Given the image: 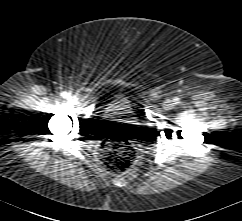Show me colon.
<instances>
[{"label": "colon", "instance_id": "1", "mask_svg": "<svg viewBox=\"0 0 242 221\" xmlns=\"http://www.w3.org/2000/svg\"><path fill=\"white\" fill-rule=\"evenodd\" d=\"M99 153L101 165L114 174L127 171L137 159L135 147L124 140H112L103 143Z\"/></svg>", "mask_w": 242, "mask_h": 221}]
</instances>
